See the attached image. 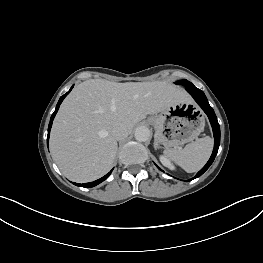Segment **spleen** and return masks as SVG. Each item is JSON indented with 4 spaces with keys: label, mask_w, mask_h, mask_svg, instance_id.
Here are the masks:
<instances>
[{
    "label": "spleen",
    "mask_w": 263,
    "mask_h": 263,
    "mask_svg": "<svg viewBox=\"0 0 263 263\" xmlns=\"http://www.w3.org/2000/svg\"><path fill=\"white\" fill-rule=\"evenodd\" d=\"M213 140L206 136L187 144L183 149H166L164 154L188 173L199 171L208 161Z\"/></svg>",
    "instance_id": "spleen-1"
}]
</instances>
